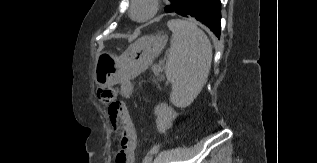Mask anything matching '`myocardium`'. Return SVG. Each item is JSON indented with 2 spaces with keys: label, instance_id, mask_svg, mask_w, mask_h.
Masks as SVG:
<instances>
[{
  "label": "myocardium",
  "instance_id": "myocardium-1",
  "mask_svg": "<svg viewBox=\"0 0 317 163\" xmlns=\"http://www.w3.org/2000/svg\"><path fill=\"white\" fill-rule=\"evenodd\" d=\"M145 2L148 5V12L142 17L135 16V8L138 3ZM159 10V0H132L130 6V17L137 22H146L153 18Z\"/></svg>",
  "mask_w": 317,
  "mask_h": 163
}]
</instances>
